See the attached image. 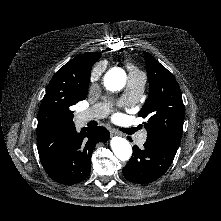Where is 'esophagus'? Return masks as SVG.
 <instances>
[{"mask_svg": "<svg viewBox=\"0 0 221 221\" xmlns=\"http://www.w3.org/2000/svg\"><path fill=\"white\" fill-rule=\"evenodd\" d=\"M112 135H122V134L120 132H118V131H113Z\"/></svg>", "mask_w": 221, "mask_h": 221, "instance_id": "34e87169", "label": "esophagus"}]
</instances>
